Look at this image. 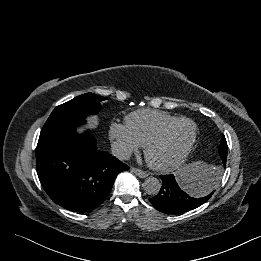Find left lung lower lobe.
I'll use <instances>...</instances> for the list:
<instances>
[{"mask_svg": "<svg viewBox=\"0 0 261 261\" xmlns=\"http://www.w3.org/2000/svg\"><path fill=\"white\" fill-rule=\"evenodd\" d=\"M222 162L226 165V158L223 157ZM220 172V169L214 168L194 178L173 174L160 176L162 187L158 195L149 200L163 213L179 214L190 211L207 202L212 196Z\"/></svg>", "mask_w": 261, "mask_h": 261, "instance_id": "obj_1", "label": "left lung lower lobe"}]
</instances>
